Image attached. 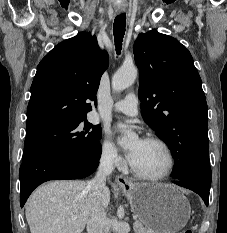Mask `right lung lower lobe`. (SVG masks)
Returning <instances> with one entry per match:
<instances>
[{
  "label": "right lung lower lobe",
  "instance_id": "1",
  "mask_svg": "<svg viewBox=\"0 0 227 233\" xmlns=\"http://www.w3.org/2000/svg\"><path fill=\"white\" fill-rule=\"evenodd\" d=\"M101 156L100 145L87 154L53 151L38 154L20 167V203L25 204L31 192L40 184L56 179H80L93 173Z\"/></svg>",
  "mask_w": 227,
  "mask_h": 233
}]
</instances>
